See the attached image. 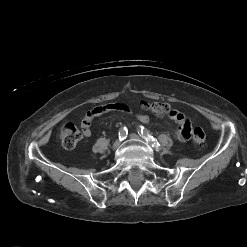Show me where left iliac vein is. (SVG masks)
Listing matches in <instances>:
<instances>
[{
  "label": "left iliac vein",
  "instance_id": "obj_1",
  "mask_svg": "<svg viewBox=\"0 0 247 247\" xmlns=\"http://www.w3.org/2000/svg\"><path fill=\"white\" fill-rule=\"evenodd\" d=\"M129 136L131 139H135V140H141L142 139L139 135H137L135 133H131Z\"/></svg>",
  "mask_w": 247,
  "mask_h": 247
}]
</instances>
